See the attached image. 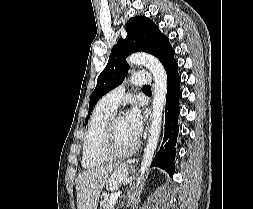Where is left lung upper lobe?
<instances>
[{
	"label": "left lung upper lobe",
	"mask_w": 253,
	"mask_h": 209,
	"mask_svg": "<svg viewBox=\"0 0 253 209\" xmlns=\"http://www.w3.org/2000/svg\"><path fill=\"white\" fill-rule=\"evenodd\" d=\"M127 36L119 39L113 47L108 63L97 79L96 87L90 97L89 114L98 100L113 88L119 86L127 76L129 65L126 58L134 52H147L157 57L165 70L176 60L175 51L168 37L159 32L158 26L145 16H137L128 20Z\"/></svg>",
	"instance_id": "obj_1"
}]
</instances>
